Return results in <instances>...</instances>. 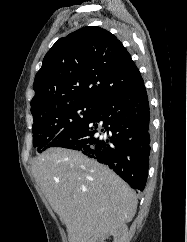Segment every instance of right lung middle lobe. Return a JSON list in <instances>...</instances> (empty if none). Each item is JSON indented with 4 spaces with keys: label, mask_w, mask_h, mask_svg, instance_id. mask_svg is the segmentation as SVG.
I'll use <instances>...</instances> for the list:
<instances>
[{
    "label": "right lung middle lobe",
    "mask_w": 187,
    "mask_h": 242,
    "mask_svg": "<svg viewBox=\"0 0 187 242\" xmlns=\"http://www.w3.org/2000/svg\"><path fill=\"white\" fill-rule=\"evenodd\" d=\"M97 106L86 102H72L33 117V146L39 153L52 147L85 122Z\"/></svg>",
    "instance_id": "right-lung-middle-lobe-1"
}]
</instances>
